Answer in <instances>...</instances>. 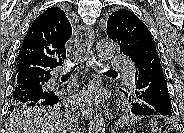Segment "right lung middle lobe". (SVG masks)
<instances>
[{
  "label": "right lung middle lobe",
  "mask_w": 184,
  "mask_h": 133,
  "mask_svg": "<svg viewBox=\"0 0 184 133\" xmlns=\"http://www.w3.org/2000/svg\"><path fill=\"white\" fill-rule=\"evenodd\" d=\"M38 105H34V106H28L27 104L24 103H13L10 106V110L15 111L17 114L18 113H23L29 109H33V108H40L37 107Z\"/></svg>",
  "instance_id": "1"
}]
</instances>
